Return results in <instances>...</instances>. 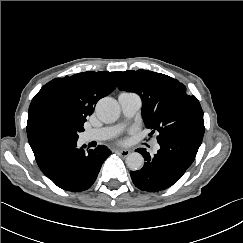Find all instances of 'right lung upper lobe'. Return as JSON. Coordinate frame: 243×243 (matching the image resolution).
I'll return each mask as SVG.
<instances>
[{
    "label": "right lung upper lobe",
    "instance_id": "cb5924a9",
    "mask_svg": "<svg viewBox=\"0 0 243 243\" xmlns=\"http://www.w3.org/2000/svg\"><path fill=\"white\" fill-rule=\"evenodd\" d=\"M122 72L78 73L64 78H55L44 85L32 99L27 121V131L42 127L38 112L48 103H57L76 117L86 121L97 101L110 94L117 86Z\"/></svg>",
    "mask_w": 243,
    "mask_h": 243
}]
</instances>
